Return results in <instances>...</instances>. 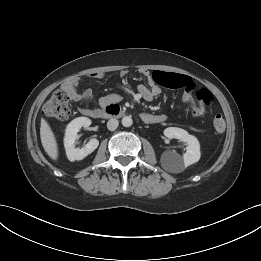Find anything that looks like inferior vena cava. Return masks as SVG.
<instances>
[{
	"instance_id": "obj_1",
	"label": "inferior vena cava",
	"mask_w": 261,
	"mask_h": 261,
	"mask_svg": "<svg viewBox=\"0 0 261 261\" xmlns=\"http://www.w3.org/2000/svg\"><path fill=\"white\" fill-rule=\"evenodd\" d=\"M118 125H119L118 120H117V119H114V118L110 119V120L107 122V128H108V130H110V131L116 130L117 127H118Z\"/></svg>"
}]
</instances>
